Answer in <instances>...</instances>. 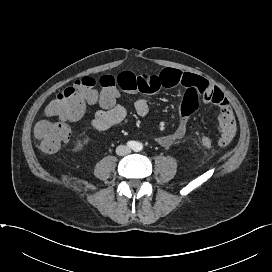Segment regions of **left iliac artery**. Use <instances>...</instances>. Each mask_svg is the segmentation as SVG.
I'll use <instances>...</instances> for the list:
<instances>
[{"label":"left iliac artery","mask_w":272,"mask_h":272,"mask_svg":"<svg viewBox=\"0 0 272 272\" xmlns=\"http://www.w3.org/2000/svg\"><path fill=\"white\" fill-rule=\"evenodd\" d=\"M139 147H140V146L138 145V146H137V149H140Z\"/></svg>","instance_id":"left-iliac-artery-1"}]
</instances>
